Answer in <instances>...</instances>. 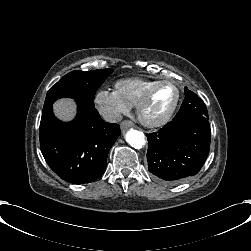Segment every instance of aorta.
Segmentation results:
<instances>
[{
  "label": "aorta",
  "mask_w": 251,
  "mask_h": 251,
  "mask_svg": "<svg viewBox=\"0 0 251 251\" xmlns=\"http://www.w3.org/2000/svg\"><path fill=\"white\" fill-rule=\"evenodd\" d=\"M125 140L134 148H141L145 143L143 132L134 128L127 130Z\"/></svg>",
  "instance_id": "obj_1"
}]
</instances>
